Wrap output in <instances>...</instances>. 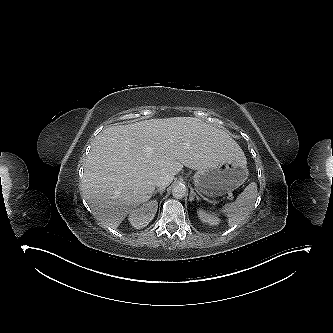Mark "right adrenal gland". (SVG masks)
<instances>
[{"label":"right adrenal gland","instance_id":"right-adrenal-gland-1","mask_svg":"<svg viewBox=\"0 0 333 333\" xmlns=\"http://www.w3.org/2000/svg\"><path fill=\"white\" fill-rule=\"evenodd\" d=\"M164 190H165V188H159V189L154 191L153 195L155 196V194H157L158 192L162 195Z\"/></svg>","mask_w":333,"mask_h":333}]
</instances>
